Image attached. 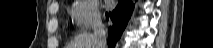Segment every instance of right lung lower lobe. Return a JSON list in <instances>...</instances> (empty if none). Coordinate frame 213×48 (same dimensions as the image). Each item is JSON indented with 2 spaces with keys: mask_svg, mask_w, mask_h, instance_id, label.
<instances>
[{
  "mask_svg": "<svg viewBox=\"0 0 213 48\" xmlns=\"http://www.w3.org/2000/svg\"><path fill=\"white\" fill-rule=\"evenodd\" d=\"M133 7L132 0H118L117 7L109 14H106L107 18L110 17L113 22V26L108 29V46L110 48H114L115 43L121 36L131 16Z\"/></svg>",
  "mask_w": 213,
  "mask_h": 48,
  "instance_id": "98d812e1",
  "label": "right lung lower lobe"
}]
</instances>
